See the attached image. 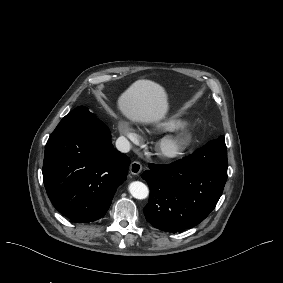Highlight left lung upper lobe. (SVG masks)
<instances>
[{
  "instance_id": "1",
  "label": "left lung upper lobe",
  "mask_w": 283,
  "mask_h": 283,
  "mask_svg": "<svg viewBox=\"0 0 283 283\" xmlns=\"http://www.w3.org/2000/svg\"><path fill=\"white\" fill-rule=\"evenodd\" d=\"M218 139L219 140H224V136H220Z\"/></svg>"
}]
</instances>
